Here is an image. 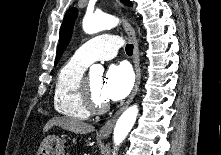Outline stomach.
<instances>
[{"mask_svg":"<svg viewBox=\"0 0 221 155\" xmlns=\"http://www.w3.org/2000/svg\"><path fill=\"white\" fill-rule=\"evenodd\" d=\"M37 155H64V141L55 135L47 136L41 143Z\"/></svg>","mask_w":221,"mask_h":155,"instance_id":"0dacf381","label":"stomach"}]
</instances>
